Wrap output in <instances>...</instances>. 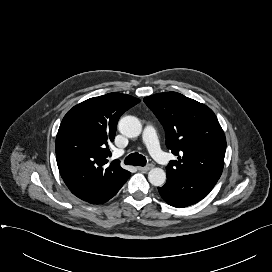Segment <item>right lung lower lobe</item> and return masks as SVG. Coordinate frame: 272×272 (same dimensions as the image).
<instances>
[{
  "label": "right lung lower lobe",
  "mask_w": 272,
  "mask_h": 272,
  "mask_svg": "<svg viewBox=\"0 0 272 272\" xmlns=\"http://www.w3.org/2000/svg\"><path fill=\"white\" fill-rule=\"evenodd\" d=\"M121 187H119L118 189H116L115 191H113L112 193H110L109 195H107L101 202H99L97 204L105 203L106 201H108L109 199H111L120 190Z\"/></svg>",
  "instance_id": "obj_1"
}]
</instances>
